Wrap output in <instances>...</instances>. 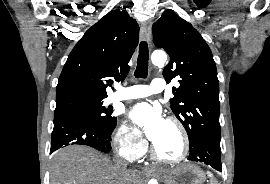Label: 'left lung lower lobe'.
<instances>
[{
    "instance_id": "1",
    "label": "left lung lower lobe",
    "mask_w": 270,
    "mask_h": 184,
    "mask_svg": "<svg viewBox=\"0 0 270 184\" xmlns=\"http://www.w3.org/2000/svg\"><path fill=\"white\" fill-rule=\"evenodd\" d=\"M188 160L198 161L222 171L220 137L200 136L190 146Z\"/></svg>"
}]
</instances>
